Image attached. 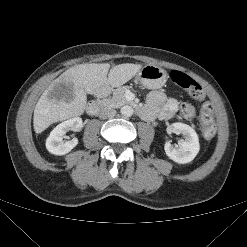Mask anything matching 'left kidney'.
I'll return each instance as SVG.
<instances>
[{"instance_id":"left-kidney-1","label":"left kidney","mask_w":247,"mask_h":247,"mask_svg":"<svg viewBox=\"0 0 247 247\" xmlns=\"http://www.w3.org/2000/svg\"><path fill=\"white\" fill-rule=\"evenodd\" d=\"M170 132L182 134L184 140L177 147L166 142L164 146L166 155L179 164L191 162L200 150L199 139L195 130L187 124L176 122L171 125Z\"/></svg>"}]
</instances>
